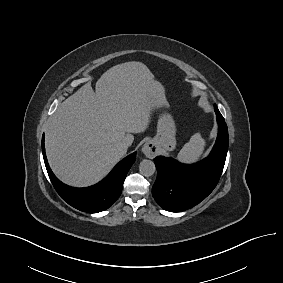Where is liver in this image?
<instances>
[{"label":"liver","mask_w":283,"mask_h":283,"mask_svg":"<svg viewBox=\"0 0 283 283\" xmlns=\"http://www.w3.org/2000/svg\"><path fill=\"white\" fill-rule=\"evenodd\" d=\"M161 84L141 62H125L107 70L64 100L45 133L48 162L64 183L86 187L104 178L126 154L124 139L144 132L153 108L165 98Z\"/></svg>","instance_id":"6515ba94"}]
</instances>
